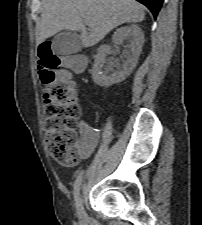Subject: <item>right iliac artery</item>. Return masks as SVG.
<instances>
[{
  "mask_svg": "<svg viewBox=\"0 0 202 225\" xmlns=\"http://www.w3.org/2000/svg\"><path fill=\"white\" fill-rule=\"evenodd\" d=\"M81 182H82V177L78 176L77 179L75 180V183H74V199L75 200H77L78 193H79L80 186H81Z\"/></svg>",
  "mask_w": 202,
  "mask_h": 225,
  "instance_id": "obj_1",
  "label": "right iliac artery"
}]
</instances>
